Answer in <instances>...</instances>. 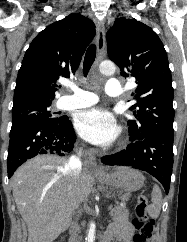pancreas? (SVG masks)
<instances>
[{"instance_id":"pancreas-1","label":"pancreas","mask_w":187,"mask_h":242,"mask_svg":"<svg viewBox=\"0 0 187 242\" xmlns=\"http://www.w3.org/2000/svg\"><path fill=\"white\" fill-rule=\"evenodd\" d=\"M123 214H127L126 206H116L111 210V215L113 216L114 219H117Z\"/></svg>"}]
</instances>
